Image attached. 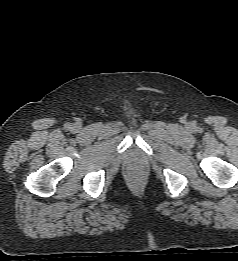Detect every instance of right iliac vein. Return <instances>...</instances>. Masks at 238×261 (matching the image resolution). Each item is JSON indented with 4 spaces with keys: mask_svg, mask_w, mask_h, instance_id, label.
I'll return each instance as SVG.
<instances>
[{
    "mask_svg": "<svg viewBox=\"0 0 238 261\" xmlns=\"http://www.w3.org/2000/svg\"><path fill=\"white\" fill-rule=\"evenodd\" d=\"M73 128H74V129H78L79 126H78L77 124H75Z\"/></svg>",
    "mask_w": 238,
    "mask_h": 261,
    "instance_id": "right-iliac-vein-1",
    "label": "right iliac vein"
}]
</instances>
